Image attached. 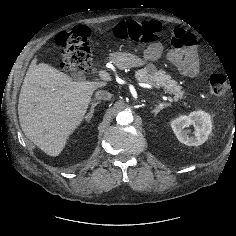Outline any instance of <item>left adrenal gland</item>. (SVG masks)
Masks as SVG:
<instances>
[{"mask_svg":"<svg viewBox=\"0 0 236 236\" xmlns=\"http://www.w3.org/2000/svg\"><path fill=\"white\" fill-rule=\"evenodd\" d=\"M158 105H156V107L154 109H152V113H154V116H156L162 109L169 107L170 103H159L157 102Z\"/></svg>","mask_w":236,"mask_h":236,"instance_id":"left-adrenal-gland-1","label":"left adrenal gland"}]
</instances>
